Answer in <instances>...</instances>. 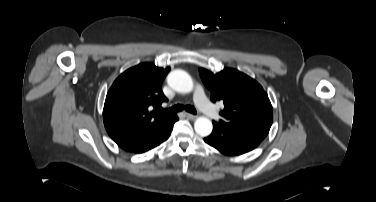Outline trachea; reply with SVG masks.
Here are the masks:
<instances>
[{"instance_id":"1","label":"trachea","mask_w":376,"mask_h":202,"mask_svg":"<svg viewBox=\"0 0 376 202\" xmlns=\"http://www.w3.org/2000/svg\"><path fill=\"white\" fill-rule=\"evenodd\" d=\"M184 109L187 112H189V113L196 114V109L193 106H191V105H185L184 106V105L178 104V105H175V106H173L171 108L165 109V111H168V112H179V111H182Z\"/></svg>"}]
</instances>
